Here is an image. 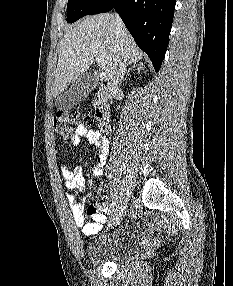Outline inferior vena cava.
Here are the masks:
<instances>
[{
    "label": "inferior vena cava",
    "instance_id": "602c4592",
    "mask_svg": "<svg viewBox=\"0 0 233 286\" xmlns=\"http://www.w3.org/2000/svg\"><path fill=\"white\" fill-rule=\"evenodd\" d=\"M115 18H116L115 22L116 29H119L123 26V22L121 21L120 17L117 14L115 15ZM125 71H126V64L125 62L122 61V58L119 56L117 59V68L115 71V76L110 81H108L107 85V92L111 99L115 97V95L117 94L120 83L123 80Z\"/></svg>",
    "mask_w": 233,
    "mask_h": 286
}]
</instances>
